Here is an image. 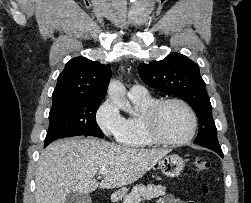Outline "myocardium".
<instances>
[{"label":"myocardium","mask_w":251,"mask_h":203,"mask_svg":"<svg viewBox=\"0 0 251 203\" xmlns=\"http://www.w3.org/2000/svg\"><path fill=\"white\" fill-rule=\"evenodd\" d=\"M171 103H177L183 106L191 118V129L189 133L185 137L178 140H171V139L165 138L159 132V129H158V119H159L160 112L164 106ZM143 127H144L146 135L152 142L156 144L166 145V146H179V145H183L189 142L195 136L197 132V128H198V119H197V115L194 109L188 102H186L185 100L181 98L172 97V98L157 100L153 102L145 110L143 114Z\"/></svg>","instance_id":"f54148a6"}]
</instances>
